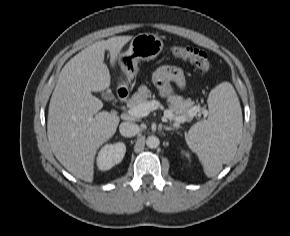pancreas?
I'll return each mask as SVG.
<instances>
[{
	"mask_svg": "<svg viewBox=\"0 0 290 236\" xmlns=\"http://www.w3.org/2000/svg\"><path fill=\"white\" fill-rule=\"evenodd\" d=\"M152 98L151 91L145 86L142 85L138 88V91L133 95V97L129 100L127 106L129 108H133L139 104L149 102L148 99ZM169 110L178 116L186 117L187 121H191L193 117L197 114H193L192 109L194 107V101L190 98L184 99L179 95H172L168 99Z\"/></svg>",
	"mask_w": 290,
	"mask_h": 236,
	"instance_id": "1",
	"label": "pancreas"
}]
</instances>
